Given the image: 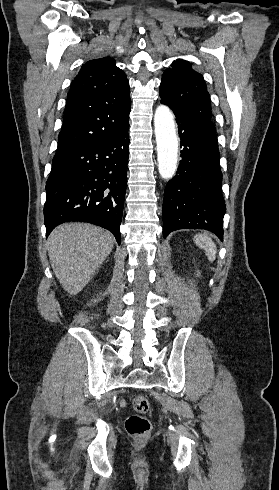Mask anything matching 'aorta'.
Wrapping results in <instances>:
<instances>
[{
  "label": "aorta",
  "mask_w": 279,
  "mask_h": 490,
  "mask_svg": "<svg viewBox=\"0 0 279 490\" xmlns=\"http://www.w3.org/2000/svg\"><path fill=\"white\" fill-rule=\"evenodd\" d=\"M158 170L162 178L171 179L177 169L178 138L174 116L169 107L160 105L154 116Z\"/></svg>",
  "instance_id": "1"
}]
</instances>
